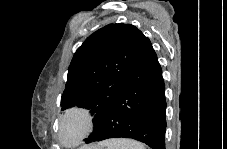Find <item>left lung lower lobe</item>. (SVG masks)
I'll return each instance as SVG.
<instances>
[{"instance_id": "1", "label": "left lung lower lobe", "mask_w": 227, "mask_h": 149, "mask_svg": "<svg viewBox=\"0 0 227 149\" xmlns=\"http://www.w3.org/2000/svg\"><path fill=\"white\" fill-rule=\"evenodd\" d=\"M165 111L162 69L145 37L121 91L85 142L123 137L165 149Z\"/></svg>"}]
</instances>
